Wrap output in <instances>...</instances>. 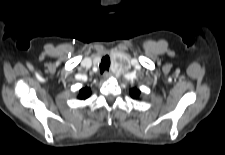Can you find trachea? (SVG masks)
<instances>
[{
    "mask_svg": "<svg viewBox=\"0 0 225 155\" xmlns=\"http://www.w3.org/2000/svg\"><path fill=\"white\" fill-rule=\"evenodd\" d=\"M110 66V58L109 56H104L101 60L100 64V72L103 73L104 71H108Z\"/></svg>",
    "mask_w": 225,
    "mask_h": 155,
    "instance_id": "1",
    "label": "trachea"
}]
</instances>
